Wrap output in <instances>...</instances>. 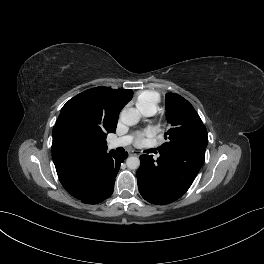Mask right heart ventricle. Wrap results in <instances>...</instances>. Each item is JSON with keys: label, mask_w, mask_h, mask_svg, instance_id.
<instances>
[{"label": "right heart ventricle", "mask_w": 264, "mask_h": 264, "mask_svg": "<svg viewBox=\"0 0 264 264\" xmlns=\"http://www.w3.org/2000/svg\"><path fill=\"white\" fill-rule=\"evenodd\" d=\"M159 102V93L152 90L140 91L135 97V104L141 112L145 110L156 112Z\"/></svg>", "instance_id": "1"}]
</instances>
